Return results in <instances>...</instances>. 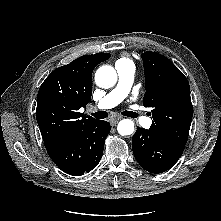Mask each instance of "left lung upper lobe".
I'll return each instance as SVG.
<instances>
[{
  "label": "left lung upper lobe",
  "instance_id": "obj_1",
  "mask_svg": "<svg viewBox=\"0 0 221 221\" xmlns=\"http://www.w3.org/2000/svg\"><path fill=\"white\" fill-rule=\"evenodd\" d=\"M141 57L146 86L143 105L152 108L149 130L163 140L185 146L193 114L189 83L165 56L147 51Z\"/></svg>",
  "mask_w": 221,
  "mask_h": 221
}]
</instances>
